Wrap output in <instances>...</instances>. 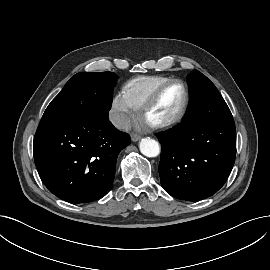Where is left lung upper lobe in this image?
<instances>
[{
    "instance_id": "1",
    "label": "left lung upper lobe",
    "mask_w": 270,
    "mask_h": 270,
    "mask_svg": "<svg viewBox=\"0 0 270 270\" xmlns=\"http://www.w3.org/2000/svg\"><path fill=\"white\" fill-rule=\"evenodd\" d=\"M190 102L200 122L215 123L233 120L231 111L215 85L202 73L194 70L187 76Z\"/></svg>"
}]
</instances>
